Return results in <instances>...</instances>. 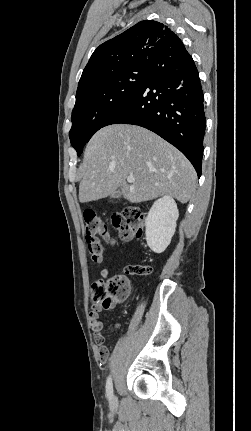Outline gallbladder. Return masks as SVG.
Listing matches in <instances>:
<instances>
[{"label": "gallbladder", "mask_w": 251, "mask_h": 431, "mask_svg": "<svg viewBox=\"0 0 251 431\" xmlns=\"http://www.w3.org/2000/svg\"><path fill=\"white\" fill-rule=\"evenodd\" d=\"M121 196V191H115L112 195H111V197L112 198H119Z\"/></svg>", "instance_id": "1"}]
</instances>
